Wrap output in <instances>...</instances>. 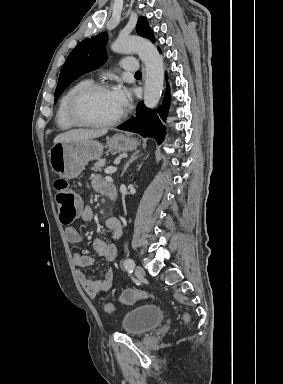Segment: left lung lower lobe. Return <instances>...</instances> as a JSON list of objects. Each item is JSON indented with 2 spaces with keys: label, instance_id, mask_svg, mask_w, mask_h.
I'll use <instances>...</instances> for the list:
<instances>
[{
  "label": "left lung lower lobe",
  "instance_id": "obj_1",
  "mask_svg": "<svg viewBox=\"0 0 283 384\" xmlns=\"http://www.w3.org/2000/svg\"><path fill=\"white\" fill-rule=\"evenodd\" d=\"M158 50L161 53L159 48ZM170 100V89L168 83H166L165 96L162 105L158 109L152 111L145 107L143 102H140L137 106L136 116L118 126V129L135 132L143 137L155 138L157 143L160 144L166 134V126L162 121L165 122L166 120Z\"/></svg>",
  "mask_w": 283,
  "mask_h": 384
}]
</instances>
